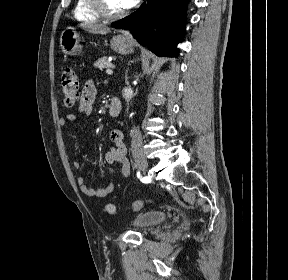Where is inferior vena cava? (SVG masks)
Wrapping results in <instances>:
<instances>
[{
  "label": "inferior vena cava",
  "mask_w": 288,
  "mask_h": 280,
  "mask_svg": "<svg viewBox=\"0 0 288 280\" xmlns=\"http://www.w3.org/2000/svg\"><path fill=\"white\" fill-rule=\"evenodd\" d=\"M121 93L124 96V101H132L133 97H136V92L134 89H122ZM133 132L130 136V147L133 150L134 159H147V154H144L143 150V138L142 134L138 132V125H133Z\"/></svg>",
  "instance_id": "inferior-vena-cava-1"
}]
</instances>
